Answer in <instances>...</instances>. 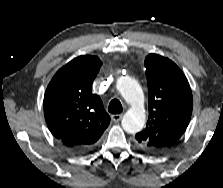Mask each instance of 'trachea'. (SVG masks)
Wrapping results in <instances>:
<instances>
[{
  "instance_id": "trachea-1",
  "label": "trachea",
  "mask_w": 223,
  "mask_h": 188,
  "mask_svg": "<svg viewBox=\"0 0 223 188\" xmlns=\"http://www.w3.org/2000/svg\"><path fill=\"white\" fill-rule=\"evenodd\" d=\"M108 111L112 114H120L123 111L121 102L118 99H112L109 103Z\"/></svg>"
}]
</instances>
